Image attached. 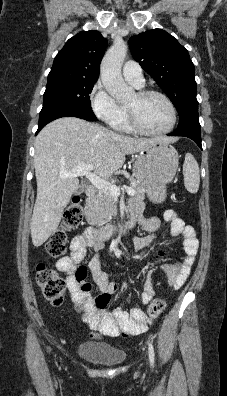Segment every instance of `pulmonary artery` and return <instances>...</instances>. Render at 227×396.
I'll use <instances>...</instances> for the list:
<instances>
[{
  "label": "pulmonary artery",
  "instance_id": "pulmonary-artery-1",
  "mask_svg": "<svg viewBox=\"0 0 227 396\" xmlns=\"http://www.w3.org/2000/svg\"><path fill=\"white\" fill-rule=\"evenodd\" d=\"M122 74L125 80L136 87H141L143 84V75L141 66L135 61H127L122 69Z\"/></svg>",
  "mask_w": 227,
  "mask_h": 396
}]
</instances>
